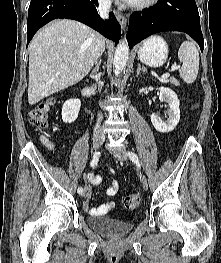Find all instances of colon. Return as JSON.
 <instances>
[{"mask_svg": "<svg viewBox=\"0 0 221 263\" xmlns=\"http://www.w3.org/2000/svg\"><path fill=\"white\" fill-rule=\"evenodd\" d=\"M52 101L39 104L30 113V121L34 127L43 130L48 126L49 110ZM140 204V197L137 194H131L125 197L123 207L126 210H134Z\"/></svg>", "mask_w": 221, "mask_h": 263, "instance_id": "1", "label": "colon"}]
</instances>
